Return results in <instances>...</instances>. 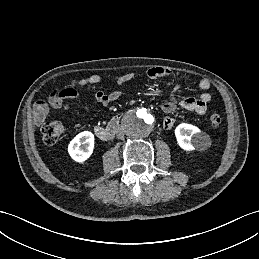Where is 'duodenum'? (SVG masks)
Masks as SVG:
<instances>
[{
  "label": "duodenum",
  "instance_id": "410a0bca",
  "mask_svg": "<svg viewBox=\"0 0 259 259\" xmlns=\"http://www.w3.org/2000/svg\"><path fill=\"white\" fill-rule=\"evenodd\" d=\"M121 116H115L107 126H97L95 132L102 141H110L120 128Z\"/></svg>",
  "mask_w": 259,
  "mask_h": 259
}]
</instances>
